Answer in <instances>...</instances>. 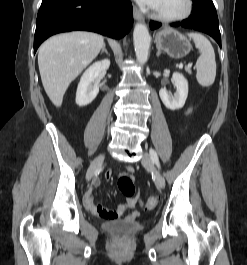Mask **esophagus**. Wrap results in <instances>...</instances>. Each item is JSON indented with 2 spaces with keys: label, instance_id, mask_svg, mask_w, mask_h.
I'll return each mask as SVG.
<instances>
[{
  "label": "esophagus",
  "instance_id": "1",
  "mask_svg": "<svg viewBox=\"0 0 247 265\" xmlns=\"http://www.w3.org/2000/svg\"><path fill=\"white\" fill-rule=\"evenodd\" d=\"M133 15L137 21L144 22V16L136 6L133 7Z\"/></svg>",
  "mask_w": 247,
  "mask_h": 265
}]
</instances>
